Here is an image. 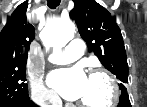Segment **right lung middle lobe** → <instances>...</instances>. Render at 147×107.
I'll use <instances>...</instances> for the list:
<instances>
[{"label":"right lung middle lobe","instance_id":"obj_1","mask_svg":"<svg viewBox=\"0 0 147 107\" xmlns=\"http://www.w3.org/2000/svg\"><path fill=\"white\" fill-rule=\"evenodd\" d=\"M26 67L0 73V107H9L13 103L28 100Z\"/></svg>","mask_w":147,"mask_h":107}]
</instances>
